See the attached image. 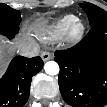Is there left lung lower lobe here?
Instances as JSON below:
<instances>
[{
  "label": "left lung lower lobe",
  "mask_w": 107,
  "mask_h": 107,
  "mask_svg": "<svg viewBox=\"0 0 107 107\" xmlns=\"http://www.w3.org/2000/svg\"><path fill=\"white\" fill-rule=\"evenodd\" d=\"M60 66L59 87L74 107H101L107 103V20L93 26L76 46L55 52Z\"/></svg>",
  "instance_id": "left-lung-lower-lobe-1"
}]
</instances>
